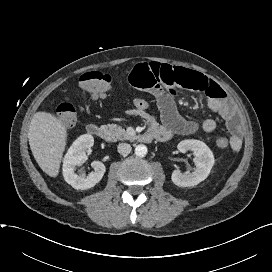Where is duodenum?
<instances>
[{
    "instance_id": "obj_1",
    "label": "duodenum",
    "mask_w": 272,
    "mask_h": 272,
    "mask_svg": "<svg viewBox=\"0 0 272 272\" xmlns=\"http://www.w3.org/2000/svg\"><path fill=\"white\" fill-rule=\"evenodd\" d=\"M87 133L102 140L108 141L110 139V135L108 134V132L104 128L96 124H89L87 126ZM154 139H156V134L150 130L141 134L138 137V141L142 143H150Z\"/></svg>"
}]
</instances>
